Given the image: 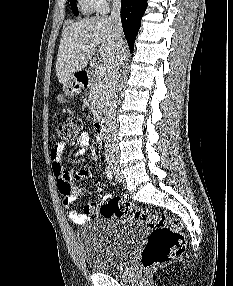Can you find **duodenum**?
<instances>
[{"mask_svg": "<svg viewBox=\"0 0 233 286\" xmlns=\"http://www.w3.org/2000/svg\"><path fill=\"white\" fill-rule=\"evenodd\" d=\"M76 79L78 81V83L83 86V87H88L90 84V74L87 71H81L78 73V75L76 76ZM95 129L96 131L100 134V135H105L106 132V127H105V122L102 118H99L96 121L95 124Z\"/></svg>", "mask_w": 233, "mask_h": 286, "instance_id": "obj_1", "label": "duodenum"}]
</instances>
